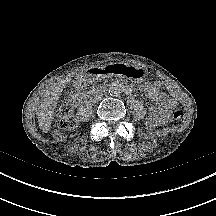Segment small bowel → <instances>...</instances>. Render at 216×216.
<instances>
[{
  "instance_id": "small-bowel-1",
  "label": "small bowel",
  "mask_w": 216,
  "mask_h": 216,
  "mask_svg": "<svg viewBox=\"0 0 216 216\" xmlns=\"http://www.w3.org/2000/svg\"><path fill=\"white\" fill-rule=\"evenodd\" d=\"M141 90L150 100L156 103L150 109L147 124L158 126L165 123L176 107V102L161 90V84L158 81L143 84Z\"/></svg>"
}]
</instances>
